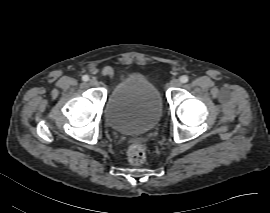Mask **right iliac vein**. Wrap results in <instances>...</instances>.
Here are the masks:
<instances>
[{
	"instance_id": "1",
	"label": "right iliac vein",
	"mask_w": 270,
	"mask_h": 213,
	"mask_svg": "<svg viewBox=\"0 0 270 213\" xmlns=\"http://www.w3.org/2000/svg\"><path fill=\"white\" fill-rule=\"evenodd\" d=\"M89 83H90V85L93 86V87L98 86V81H97L95 78L91 79V80L89 81Z\"/></svg>"
}]
</instances>
